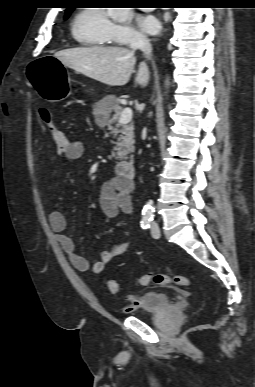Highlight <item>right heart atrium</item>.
I'll use <instances>...</instances> for the list:
<instances>
[{
  "instance_id": "obj_1",
  "label": "right heart atrium",
  "mask_w": 255,
  "mask_h": 387,
  "mask_svg": "<svg viewBox=\"0 0 255 387\" xmlns=\"http://www.w3.org/2000/svg\"><path fill=\"white\" fill-rule=\"evenodd\" d=\"M111 40L119 45H131L144 42L146 36L127 23H112Z\"/></svg>"
}]
</instances>
